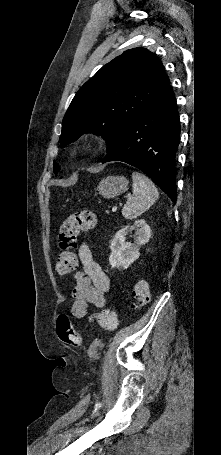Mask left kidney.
Returning <instances> with one entry per match:
<instances>
[{
  "instance_id": "left-kidney-1",
  "label": "left kidney",
  "mask_w": 221,
  "mask_h": 455,
  "mask_svg": "<svg viewBox=\"0 0 221 455\" xmlns=\"http://www.w3.org/2000/svg\"><path fill=\"white\" fill-rule=\"evenodd\" d=\"M136 229L137 237L134 243L126 242V235ZM151 237V229L145 220H137L133 226L121 228L110 244L109 262L112 268L127 269L140 256V246L146 244Z\"/></svg>"
}]
</instances>
